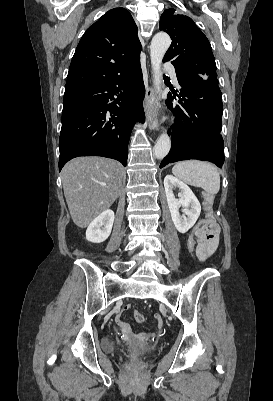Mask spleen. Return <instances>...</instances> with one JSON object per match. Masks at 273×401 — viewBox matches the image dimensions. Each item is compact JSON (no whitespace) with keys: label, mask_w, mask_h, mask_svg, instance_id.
Wrapping results in <instances>:
<instances>
[{"label":"spleen","mask_w":273,"mask_h":401,"mask_svg":"<svg viewBox=\"0 0 273 401\" xmlns=\"http://www.w3.org/2000/svg\"><path fill=\"white\" fill-rule=\"evenodd\" d=\"M173 174L192 186H201L208 194H216L220 188L219 172L211 162L181 160L172 168Z\"/></svg>","instance_id":"3e777b00"}]
</instances>
